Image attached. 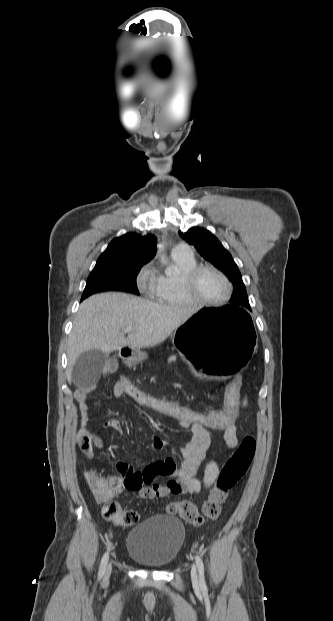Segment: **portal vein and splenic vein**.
Here are the masks:
<instances>
[{
  "label": "portal vein and splenic vein",
  "instance_id": "obj_1",
  "mask_svg": "<svg viewBox=\"0 0 333 621\" xmlns=\"http://www.w3.org/2000/svg\"><path fill=\"white\" fill-rule=\"evenodd\" d=\"M132 330H133L132 327H128V328L124 329L122 332L123 333H127V332H131Z\"/></svg>",
  "mask_w": 333,
  "mask_h": 621
}]
</instances>
